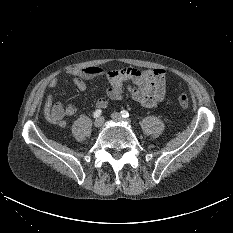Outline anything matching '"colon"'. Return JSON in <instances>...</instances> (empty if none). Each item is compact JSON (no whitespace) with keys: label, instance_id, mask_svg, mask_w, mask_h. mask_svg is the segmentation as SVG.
Segmentation results:
<instances>
[{"label":"colon","instance_id":"obj_1","mask_svg":"<svg viewBox=\"0 0 233 233\" xmlns=\"http://www.w3.org/2000/svg\"><path fill=\"white\" fill-rule=\"evenodd\" d=\"M177 102L184 109H187L190 104L189 98L185 94H179L177 97Z\"/></svg>","mask_w":233,"mask_h":233}]
</instances>
